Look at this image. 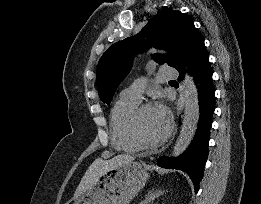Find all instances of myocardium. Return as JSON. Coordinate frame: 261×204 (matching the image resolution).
I'll list each match as a JSON object with an SVG mask.
<instances>
[{
	"mask_svg": "<svg viewBox=\"0 0 261 204\" xmlns=\"http://www.w3.org/2000/svg\"><path fill=\"white\" fill-rule=\"evenodd\" d=\"M152 107H159L153 102H144L139 104L136 109L132 112L128 121V131L133 141L142 149H153L163 145L171 137L173 132V122L169 112L161 107L168 119V126L165 134L156 141H147L141 134L140 131V119L144 111Z\"/></svg>",
	"mask_w": 261,
	"mask_h": 204,
	"instance_id": "1",
	"label": "myocardium"
}]
</instances>
